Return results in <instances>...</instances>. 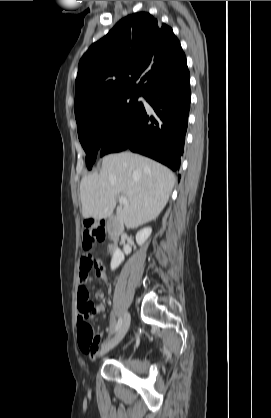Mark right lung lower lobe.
Returning <instances> with one entry per match:
<instances>
[{"mask_svg": "<svg viewBox=\"0 0 271 418\" xmlns=\"http://www.w3.org/2000/svg\"><path fill=\"white\" fill-rule=\"evenodd\" d=\"M145 99L155 113L146 112L142 105L107 136L100 148V156L130 149L176 171L184 151L190 109L186 61L146 94Z\"/></svg>", "mask_w": 271, "mask_h": 418, "instance_id": "98d812e1", "label": "right lung lower lobe"}]
</instances>
